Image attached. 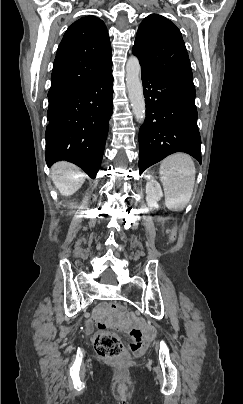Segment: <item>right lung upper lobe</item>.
<instances>
[{
	"mask_svg": "<svg viewBox=\"0 0 243 404\" xmlns=\"http://www.w3.org/2000/svg\"><path fill=\"white\" fill-rule=\"evenodd\" d=\"M106 26L95 16L82 17L65 32L54 61L49 95L87 84L112 70Z\"/></svg>",
	"mask_w": 243,
	"mask_h": 404,
	"instance_id": "cb5924a9",
	"label": "right lung upper lobe"
}]
</instances>
